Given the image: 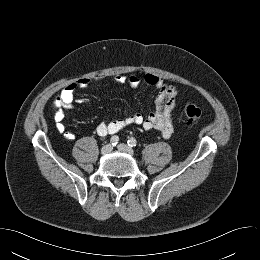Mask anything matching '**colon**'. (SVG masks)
I'll return each instance as SVG.
<instances>
[{"label":"colon","mask_w":260,"mask_h":260,"mask_svg":"<svg viewBox=\"0 0 260 260\" xmlns=\"http://www.w3.org/2000/svg\"><path fill=\"white\" fill-rule=\"evenodd\" d=\"M184 112L188 124H195L202 115L201 109L194 104L185 105Z\"/></svg>","instance_id":"1"}]
</instances>
